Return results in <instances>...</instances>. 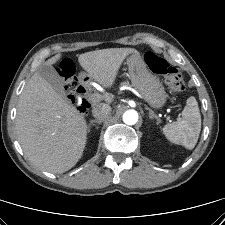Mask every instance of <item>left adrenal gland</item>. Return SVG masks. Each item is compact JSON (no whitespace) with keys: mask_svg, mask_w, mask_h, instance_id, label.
<instances>
[{"mask_svg":"<svg viewBox=\"0 0 225 225\" xmlns=\"http://www.w3.org/2000/svg\"><path fill=\"white\" fill-rule=\"evenodd\" d=\"M146 109L149 111L150 119H156L157 120V124H159L160 123V119L157 117V115H155V113L151 109H149L148 107H146Z\"/></svg>","mask_w":225,"mask_h":225,"instance_id":"1","label":"left adrenal gland"}]
</instances>
